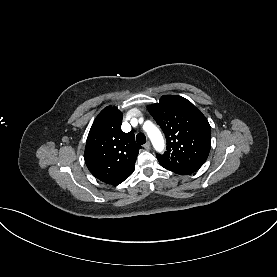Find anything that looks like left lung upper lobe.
I'll return each instance as SVG.
<instances>
[{"mask_svg":"<svg viewBox=\"0 0 277 277\" xmlns=\"http://www.w3.org/2000/svg\"><path fill=\"white\" fill-rule=\"evenodd\" d=\"M148 110L167 140V151L156 155L160 165L173 172L197 171L211 147V128L205 116L190 101L176 95L162 96Z\"/></svg>","mask_w":277,"mask_h":277,"instance_id":"left-lung-upper-lobe-1","label":"left lung upper lobe"}]
</instances>
